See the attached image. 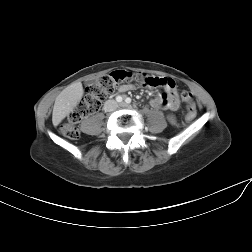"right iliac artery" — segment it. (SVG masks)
I'll use <instances>...</instances> for the list:
<instances>
[{"label":"right iliac artery","mask_w":252,"mask_h":252,"mask_svg":"<svg viewBox=\"0 0 252 252\" xmlns=\"http://www.w3.org/2000/svg\"><path fill=\"white\" fill-rule=\"evenodd\" d=\"M122 100H123V98H122L121 96H117V97H116V101H117V102L121 103Z\"/></svg>","instance_id":"82829eb1"}]
</instances>
